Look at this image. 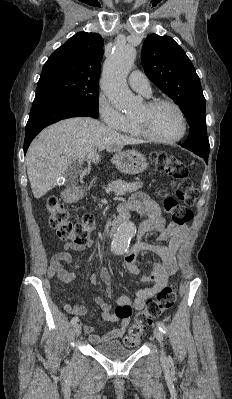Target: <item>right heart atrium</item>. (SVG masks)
I'll list each match as a JSON object with an SVG mask.
<instances>
[{
    "label": "right heart atrium",
    "instance_id": "obj_1",
    "mask_svg": "<svg viewBox=\"0 0 232 399\" xmlns=\"http://www.w3.org/2000/svg\"><path fill=\"white\" fill-rule=\"evenodd\" d=\"M98 115L103 125H112V130H119L127 121L124 115L109 105H98Z\"/></svg>",
    "mask_w": 232,
    "mask_h": 399
}]
</instances>
